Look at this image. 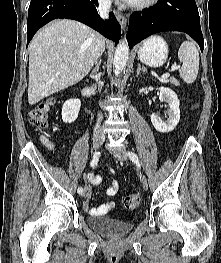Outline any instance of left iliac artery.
<instances>
[{"label":"left iliac artery","instance_id":"1","mask_svg":"<svg viewBox=\"0 0 221 263\" xmlns=\"http://www.w3.org/2000/svg\"><path fill=\"white\" fill-rule=\"evenodd\" d=\"M127 156L132 160V162L137 163L139 161L138 156L133 152H127Z\"/></svg>","mask_w":221,"mask_h":263}]
</instances>
